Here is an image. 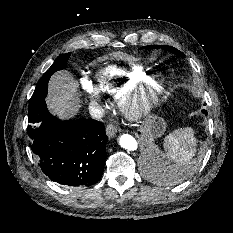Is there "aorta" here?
I'll return each instance as SVG.
<instances>
[{
  "instance_id": "aorta-1",
  "label": "aorta",
  "mask_w": 233,
  "mask_h": 233,
  "mask_svg": "<svg viewBox=\"0 0 233 233\" xmlns=\"http://www.w3.org/2000/svg\"><path fill=\"white\" fill-rule=\"evenodd\" d=\"M119 144L121 147H123L126 150L134 151L138 148V142L136 139L129 135V134H123L119 137Z\"/></svg>"
}]
</instances>
